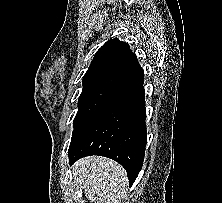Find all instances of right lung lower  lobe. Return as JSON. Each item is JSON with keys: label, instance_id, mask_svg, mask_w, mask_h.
Listing matches in <instances>:
<instances>
[{"label": "right lung lower lobe", "instance_id": "right-lung-lower-lobe-1", "mask_svg": "<svg viewBox=\"0 0 222 203\" xmlns=\"http://www.w3.org/2000/svg\"><path fill=\"white\" fill-rule=\"evenodd\" d=\"M144 72L114 93L73 131L69 161L101 155L121 164L130 185L143 165L147 133Z\"/></svg>", "mask_w": 222, "mask_h": 203}]
</instances>
